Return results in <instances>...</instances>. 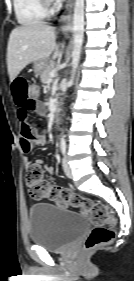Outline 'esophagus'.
Returning a JSON list of instances; mask_svg holds the SVG:
<instances>
[{"mask_svg": "<svg viewBox=\"0 0 134 281\" xmlns=\"http://www.w3.org/2000/svg\"><path fill=\"white\" fill-rule=\"evenodd\" d=\"M74 0H68L63 14L60 16V31L67 33L72 29V15H73Z\"/></svg>", "mask_w": 134, "mask_h": 281, "instance_id": "1", "label": "esophagus"}]
</instances>
